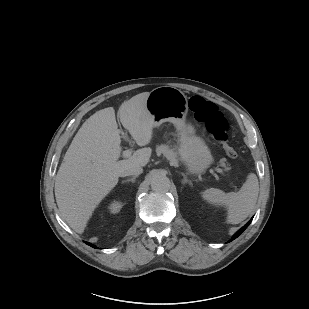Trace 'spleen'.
<instances>
[{
    "label": "spleen",
    "mask_w": 309,
    "mask_h": 309,
    "mask_svg": "<svg viewBox=\"0 0 309 309\" xmlns=\"http://www.w3.org/2000/svg\"><path fill=\"white\" fill-rule=\"evenodd\" d=\"M259 194V183L254 173L248 175L246 182L238 192L225 193L220 189L210 188L201 193L204 200L215 205L227 207V222L238 224L253 211Z\"/></svg>",
    "instance_id": "spleen-1"
}]
</instances>
